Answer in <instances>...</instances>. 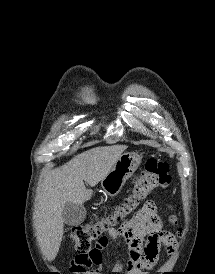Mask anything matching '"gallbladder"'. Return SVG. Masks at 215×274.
<instances>
[{
	"label": "gallbladder",
	"mask_w": 215,
	"mask_h": 274,
	"mask_svg": "<svg viewBox=\"0 0 215 274\" xmlns=\"http://www.w3.org/2000/svg\"><path fill=\"white\" fill-rule=\"evenodd\" d=\"M62 217L65 224L76 226L84 221L86 217V209L83 205L67 202L64 205Z\"/></svg>",
	"instance_id": "gallbladder-1"
}]
</instances>
